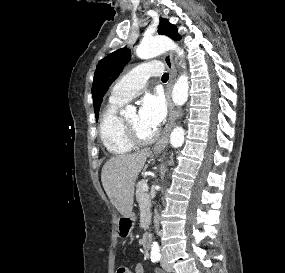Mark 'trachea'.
I'll use <instances>...</instances> for the list:
<instances>
[{
	"label": "trachea",
	"instance_id": "trachea-1",
	"mask_svg": "<svg viewBox=\"0 0 285 273\" xmlns=\"http://www.w3.org/2000/svg\"><path fill=\"white\" fill-rule=\"evenodd\" d=\"M168 78H169L168 73H164V74L162 75V80H168Z\"/></svg>",
	"mask_w": 285,
	"mask_h": 273
}]
</instances>
